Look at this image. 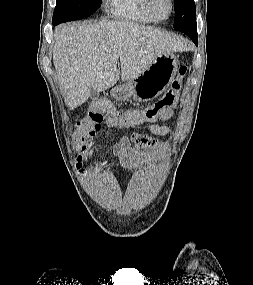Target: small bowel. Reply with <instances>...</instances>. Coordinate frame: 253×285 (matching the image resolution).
<instances>
[{"label": "small bowel", "instance_id": "1", "mask_svg": "<svg viewBox=\"0 0 253 285\" xmlns=\"http://www.w3.org/2000/svg\"><path fill=\"white\" fill-rule=\"evenodd\" d=\"M176 104L173 103L169 108H167L158 119H164L172 114L173 109ZM157 120V119H155ZM152 120V121H155ZM151 122V121H146ZM149 130L155 135L162 136L169 132L170 127L159 125V124H149ZM158 145L156 139L149 137L144 134L134 133L130 136H123L115 145L114 151L121 157L122 163L127 170H133L138 167L140 163L150 157V153L147 149L154 148Z\"/></svg>", "mask_w": 253, "mask_h": 285}]
</instances>
